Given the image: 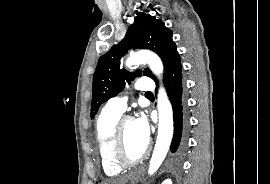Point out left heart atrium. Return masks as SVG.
Masks as SVG:
<instances>
[{"mask_svg": "<svg viewBox=\"0 0 270 184\" xmlns=\"http://www.w3.org/2000/svg\"><path fill=\"white\" fill-rule=\"evenodd\" d=\"M135 124L140 135L148 141L150 136V126L147 119L144 116H140L135 120Z\"/></svg>", "mask_w": 270, "mask_h": 184, "instance_id": "1", "label": "left heart atrium"}]
</instances>
